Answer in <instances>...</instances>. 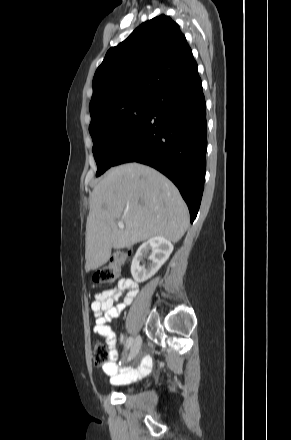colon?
Segmentation results:
<instances>
[{"instance_id": "1", "label": "colon", "mask_w": 291, "mask_h": 440, "mask_svg": "<svg viewBox=\"0 0 291 440\" xmlns=\"http://www.w3.org/2000/svg\"><path fill=\"white\" fill-rule=\"evenodd\" d=\"M124 262L122 256H116L110 264L98 269L92 278L93 283H113L119 279L120 269ZM110 359L109 347L102 342H96L92 349V360L96 365H103Z\"/></svg>"}]
</instances>
